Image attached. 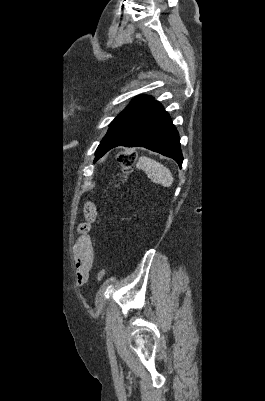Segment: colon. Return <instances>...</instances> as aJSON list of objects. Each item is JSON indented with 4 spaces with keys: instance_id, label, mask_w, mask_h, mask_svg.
<instances>
[{
    "instance_id": "1",
    "label": "colon",
    "mask_w": 265,
    "mask_h": 401,
    "mask_svg": "<svg viewBox=\"0 0 265 401\" xmlns=\"http://www.w3.org/2000/svg\"><path fill=\"white\" fill-rule=\"evenodd\" d=\"M137 155L135 152H125L121 153L118 157L119 165L122 170V175L119 180V184L123 183L126 181L128 175L132 173L135 163H136ZM118 184V185H119ZM105 276V273L103 270H99L97 272V278L99 280H102Z\"/></svg>"
}]
</instances>
